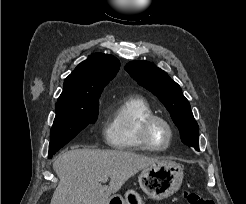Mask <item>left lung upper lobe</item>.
Returning a JSON list of instances; mask_svg holds the SVG:
<instances>
[{"mask_svg": "<svg viewBox=\"0 0 246 204\" xmlns=\"http://www.w3.org/2000/svg\"><path fill=\"white\" fill-rule=\"evenodd\" d=\"M125 70L164 104L180 131L182 142L199 151L198 124L180 86L165 71L147 61H131Z\"/></svg>", "mask_w": 246, "mask_h": 204, "instance_id": "obj_1", "label": "left lung upper lobe"}]
</instances>
